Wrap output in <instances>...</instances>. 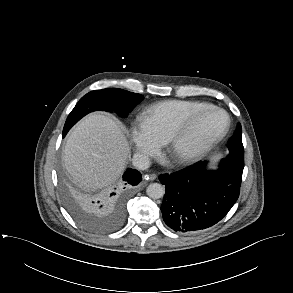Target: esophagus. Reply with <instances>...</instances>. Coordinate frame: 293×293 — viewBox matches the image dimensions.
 Instances as JSON below:
<instances>
[{
  "label": "esophagus",
  "instance_id": "obj_1",
  "mask_svg": "<svg viewBox=\"0 0 293 293\" xmlns=\"http://www.w3.org/2000/svg\"><path fill=\"white\" fill-rule=\"evenodd\" d=\"M144 178L146 179V180H155L156 178H157V175L156 174H146L145 176H144Z\"/></svg>",
  "mask_w": 293,
  "mask_h": 293
}]
</instances>
